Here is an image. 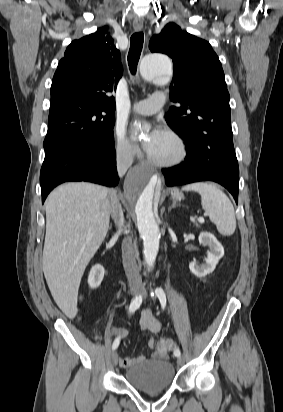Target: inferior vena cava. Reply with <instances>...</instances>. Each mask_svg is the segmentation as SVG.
Instances as JSON below:
<instances>
[{"label": "inferior vena cava", "mask_w": 283, "mask_h": 412, "mask_svg": "<svg viewBox=\"0 0 283 412\" xmlns=\"http://www.w3.org/2000/svg\"><path fill=\"white\" fill-rule=\"evenodd\" d=\"M133 163V154L129 148L120 149L117 151L116 166L117 172L120 177H122L128 168ZM110 214L114 220L115 226L119 231L123 230L124 227V215L121 204L119 203L117 192L111 191L110 200ZM122 259L123 267L131 287L138 286L142 284L141 277L139 275L138 267L136 264V259L134 255V249L132 244V239L126 237L122 242Z\"/></svg>", "instance_id": "1"}]
</instances>
